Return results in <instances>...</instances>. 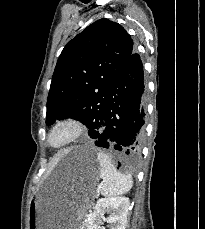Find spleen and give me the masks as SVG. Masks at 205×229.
Listing matches in <instances>:
<instances>
[{
    "label": "spleen",
    "mask_w": 205,
    "mask_h": 229,
    "mask_svg": "<svg viewBox=\"0 0 205 229\" xmlns=\"http://www.w3.org/2000/svg\"><path fill=\"white\" fill-rule=\"evenodd\" d=\"M97 158L101 167L100 177L103 180L98 189L100 193L105 197H116L129 192L133 186L132 176L118 172L110 158L103 152H99Z\"/></svg>",
    "instance_id": "obj_1"
}]
</instances>
